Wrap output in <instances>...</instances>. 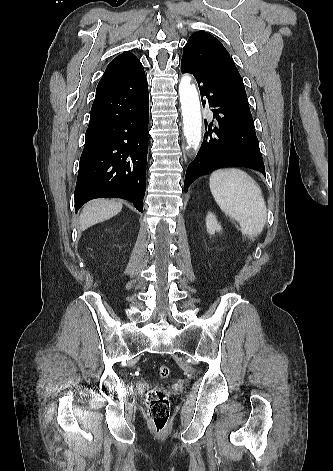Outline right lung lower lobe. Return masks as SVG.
Instances as JSON below:
<instances>
[{
	"mask_svg": "<svg viewBox=\"0 0 333 471\" xmlns=\"http://www.w3.org/2000/svg\"><path fill=\"white\" fill-rule=\"evenodd\" d=\"M148 116L145 73L95 97L74 193L76 211L94 198H122L143 212Z\"/></svg>",
	"mask_w": 333,
	"mask_h": 471,
	"instance_id": "98d812e1",
	"label": "right lung lower lobe"
}]
</instances>
